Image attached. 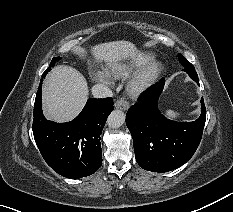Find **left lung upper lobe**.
Masks as SVG:
<instances>
[{
	"label": "left lung upper lobe",
	"instance_id": "1",
	"mask_svg": "<svg viewBox=\"0 0 233 212\" xmlns=\"http://www.w3.org/2000/svg\"><path fill=\"white\" fill-rule=\"evenodd\" d=\"M178 58L182 66H184L185 68L183 69L184 71H186V69L195 70L194 66L190 62H188L182 54L179 53Z\"/></svg>",
	"mask_w": 233,
	"mask_h": 212
}]
</instances>
